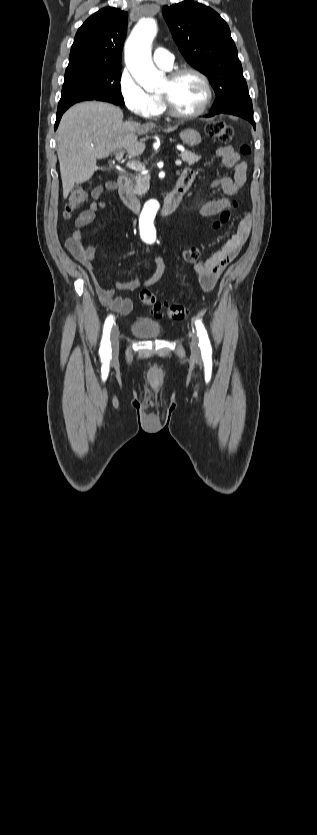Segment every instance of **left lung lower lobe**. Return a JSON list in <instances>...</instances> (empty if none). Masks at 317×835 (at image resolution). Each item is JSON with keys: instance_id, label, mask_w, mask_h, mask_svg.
<instances>
[{"instance_id": "0a47b994", "label": "left lung lower lobe", "mask_w": 317, "mask_h": 835, "mask_svg": "<svg viewBox=\"0 0 317 835\" xmlns=\"http://www.w3.org/2000/svg\"><path fill=\"white\" fill-rule=\"evenodd\" d=\"M220 113H224V114H232V115H236V116L242 117V118H244V119L248 120V121H249V122L253 125L254 129L256 128L255 122H254V120H253V113L248 112V111L243 110V109H240V108H227V109H224V110H216V109H213V110H212V111H211L208 115H206L205 117H211V116H214V115H216V114H220Z\"/></svg>"}]
</instances>
